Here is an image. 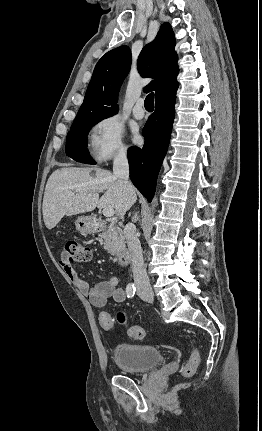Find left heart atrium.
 Segmentation results:
<instances>
[{
    "label": "left heart atrium",
    "instance_id": "1",
    "mask_svg": "<svg viewBox=\"0 0 262 431\" xmlns=\"http://www.w3.org/2000/svg\"><path fill=\"white\" fill-rule=\"evenodd\" d=\"M139 140V137L138 136H135V141H138Z\"/></svg>",
    "mask_w": 262,
    "mask_h": 431
}]
</instances>
